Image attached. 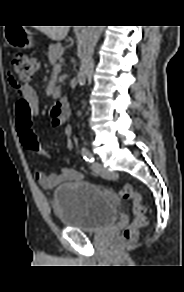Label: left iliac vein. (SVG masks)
Instances as JSON below:
<instances>
[{
	"instance_id": "1",
	"label": "left iliac vein",
	"mask_w": 184,
	"mask_h": 292,
	"mask_svg": "<svg viewBox=\"0 0 184 292\" xmlns=\"http://www.w3.org/2000/svg\"><path fill=\"white\" fill-rule=\"evenodd\" d=\"M91 167H92L93 172L101 176L102 178L109 179L113 177V174L109 172L106 168H104L103 165L99 163L98 161H94Z\"/></svg>"
}]
</instances>
